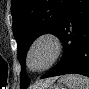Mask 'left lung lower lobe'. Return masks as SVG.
<instances>
[{
	"label": "left lung lower lobe",
	"mask_w": 89,
	"mask_h": 89,
	"mask_svg": "<svg viewBox=\"0 0 89 89\" xmlns=\"http://www.w3.org/2000/svg\"><path fill=\"white\" fill-rule=\"evenodd\" d=\"M63 44L59 63L41 78L69 73L89 77V0H71L58 34Z\"/></svg>",
	"instance_id": "0a47b994"
}]
</instances>
